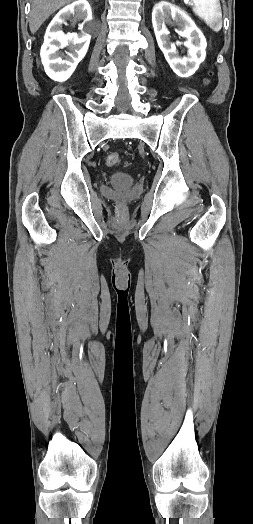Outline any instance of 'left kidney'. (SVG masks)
I'll return each instance as SVG.
<instances>
[{
	"label": "left kidney",
	"mask_w": 253,
	"mask_h": 524,
	"mask_svg": "<svg viewBox=\"0 0 253 524\" xmlns=\"http://www.w3.org/2000/svg\"><path fill=\"white\" fill-rule=\"evenodd\" d=\"M172 20L179 27L178 34L186 39L184 46L187 48V57H180L175 44L170 42L166 24ZM152 24L157 43L172 70L180 77L193 75L205 60L207 43L192 19L179 7L161 1L153 8Z\"/></svg>",
	"instance_id": "1"
}]
</instances>
